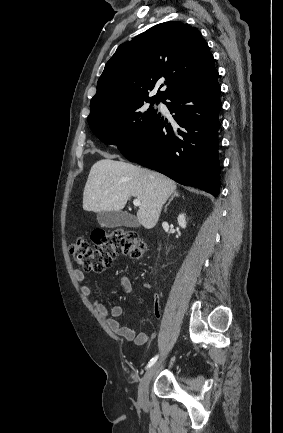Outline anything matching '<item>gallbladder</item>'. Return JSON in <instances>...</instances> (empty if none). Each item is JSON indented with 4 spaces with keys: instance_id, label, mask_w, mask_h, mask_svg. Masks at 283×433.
Listing matches in <instances>:
<instances>
[{
    "instance_id": "bac80fb5",
    "label": "gallbladder",
    "mask_w": 283,
    "mask_h": 433,
    "mask_svg": "<svg viewBox=\"0 0 283 433\" xmlns=\"http://www.w3.org/2000/svg\"><path fill=\"white\" fill-rule=\"evenodd\" d=\"M97 221L101 227H140L134 214L123 212V210H101L97 212Z\"/></svg>"
}]
</instances>
